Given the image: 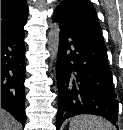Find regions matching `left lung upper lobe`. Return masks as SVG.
Instances as JSON below:
<instances>
[{"mask_svg":"<svg viewBox=\"0 0 123 130\" xmlns=\"http://www.w3.org/2000/svg\"><path fill=\"white\" fill-rule=\"evenodd\" d=\"M56 10L81 32L103 40L96 10L89 0H63Z\"/></svg>","mask_w":123,"mask_h":130,"instance_id":"1","label":"left lung upper lobe"}]
</instances>
